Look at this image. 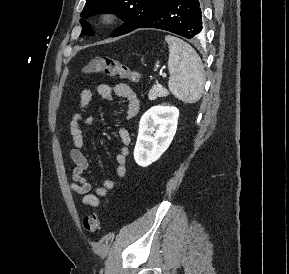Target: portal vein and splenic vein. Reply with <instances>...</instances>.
Wrapping results in <instances>:
<instances>
[{"mask_svg": "<svg viewBox=\"0 0 289 274\" xmlns=\"http://www.w3.org/2000/svg\"><path fill=\"white\" fill-rule=\"evenodd\" d=\"M161 76H162L163 78H166V77H167V74H166V73H162Z\"/></svg>", "mask_w": 289, "mask_h": 274, "instance_id": "18ae733b", "label": "portal vein and splenic vein"}]
</instances>
